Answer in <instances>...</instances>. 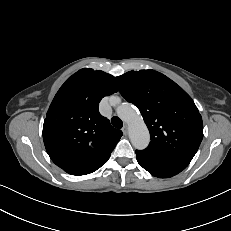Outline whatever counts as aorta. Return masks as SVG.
Wrapping results in <instances>:
<instances>
[{
    "label": "aorta",
    "mask_w": 231,
    "mask_h": 231,
    "mask_svg": "<svg viewBox=\"0 0 231 231\" xmlns=\"http://www.w3.org/2000/svg\"><path fill=\"white\" fill-rule=\"evenodd\" d=\"M116 111L118 116L128 124L132 145L138 150L145 149L150 142V134L141 115L130 103L121 104Z\"/></svg>",
    "instance_id": "obj_1"
}]
</instances>
